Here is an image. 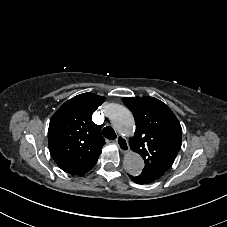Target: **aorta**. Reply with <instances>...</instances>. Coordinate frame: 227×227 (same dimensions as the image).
<instances>
[{
  "mask_svg": "<svg viewBox=\"0 0 227 227\" xmlns=\"http://www.w3.org/2000/svg\"><path fill=\"white\" fill-rule=\"evenodd\" d=\"M109 118L114 128L121 134H129L135 127L132 113L126 107L118 104L109 106ZM124 168L130 175L141 174L144 168L143 158L136 152H129L124 157Z\"/></svg>",
  "mask_w": 227,
  "mask_h": 227,
  "instance_id": "obj_1",
  "label": "aorta"
}]
</instances>
